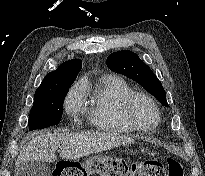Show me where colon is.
Returning a JSON list of instances; mask_svg holds the SVG:
<instances>
[{
	"instance_id": "obj_1",
	"label": "colon",
	"mask_w": 205,
	"mask_h": 176,
	"mask_svg": "<svg viewBox=\"0 0 205 176\" xmlns=\"http://www.w3.org/2000/svg\"><path fill=\"white\" fill-rule=\"evenodd\" d=\"M184 176L181 163L173 158L168 159L167 168L154 160L126 162L118 157L97 156L82 162L59 159L52 176Z\"/></svg>"
}]
</instances>
